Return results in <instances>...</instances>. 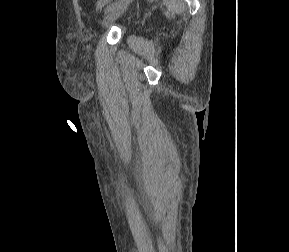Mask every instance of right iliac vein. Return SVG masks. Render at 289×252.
I'll return each instance as SVG.
<instances>
[{"instance_id":"obj_1","label":"right iliac vein","mask_w":289,"mask_h":252,"mask_svg":"<svg viewBox=\"0 0 289 252\" xmlns=\"http://www.w3.org/2000/svg\"><path fill=\"white\" fill-rule=\"evenodd\" d=\"M133 0H122L121 3L112 11L108 12L104 17L102 26H108L111 22L118 19L127 10L128 6Z\"/></svg>"}]
</instances>
